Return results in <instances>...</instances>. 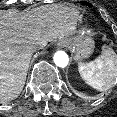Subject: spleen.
<instances>
[{
    "instance_id": "1",
    "label": "spleen",
    "mask_w": 117,
    "mask_h": 117,
    "mask_svg": "<svg viewBox=\"0 0 117 117\" xmlns=\"http://www.w3.org/2000/svg\"><path fill=\"white\" fill-rule=\"evenodd\" d=\"M82 79L98 91H106L117 82V55L111 48H104L100 56L88 63H79Z\"/></svg>"
}]
</instances>
